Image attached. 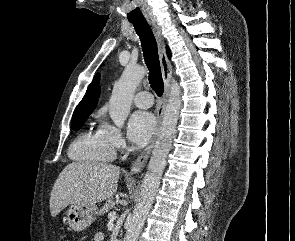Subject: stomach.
Returning a JSON list of instances; mask_svg holds the SVG:
<instances>
[{"label":"stomach","mask_w":295,"mask_h":241,"mask_svg":"<svg viewBox=\"0 0 295 241\" xmlns=\"http://www.w3.org/2000/svg\"><path fill=\"white\" fill-rule=\"evenodd\" d=\"M98 208L94 205L73 204L66 213L69 227L80 232L90 226L97 218Z\"/></svg>","instance_id":"0dacf381"}]
</instances>
